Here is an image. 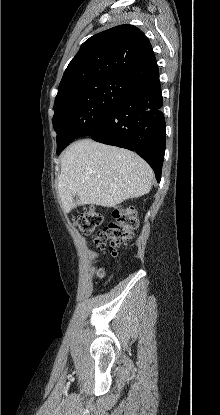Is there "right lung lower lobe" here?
Wrapping results in <instances>:
<instances>
[{"label": "right lung lower lobe", "mask_w": 220, "mask_h": 415, "mask_svg": "<svg viewBox=\"0 0 220 415\" xmlns=\"http://www.w3.org/2000/svg\"><path fill=\"white\" fill-rule=\"evenodd\" d=\"M162 103L157 74L134 85V89L109 110L101 127L90 138L135 151L152 167L160 182L166 142Z\"/></svg>", "instance_id": "1"}]
</instances>
